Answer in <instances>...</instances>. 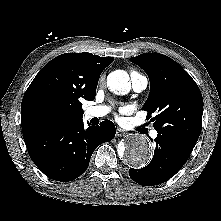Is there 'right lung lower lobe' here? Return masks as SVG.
Instances as JSON below:
<instances>
[{"mask_svg": "<svg viewBox=\"0 0 221 221\" xmlns=\"http://www.w3.org/2000/svg\"><path fill=\"white\" fill-rule=\"evenodd\" d=\"M115 133L109 120L88 128L79 120L31 130L23 137L31 159L46 176L72 181L88 168L94 150L111 141Z\"/></svg>", "mask_w": 221, "mask_h": 221, "instance_id": "obj_1", "label": "right lung lower lobe"}]
</instances>
